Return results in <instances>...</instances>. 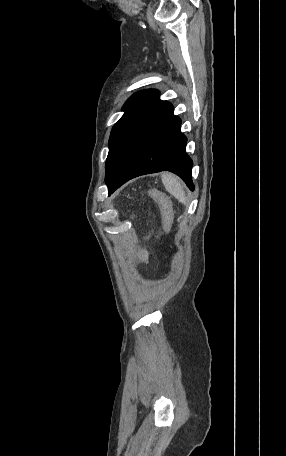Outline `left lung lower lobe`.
Wrapping results in <instances>:
<instances>
[{"instance_id": "0a47b994", "label": "left lung lower lobe", "mask_w": 286, "mask_h": 456, "mask_svg": "<svg viewBox=\"0 0 286 456\" xmlns=\"http://www.w3.org/2000/svg\"><path fill=\"white\" fill-rule=\"evenodd\" d=\"M180 127L181 120L173 114L171 105L129 147L108 186V194L134 177L163 170L177 174L194 190L191 178L193 163L186 154L187 138Z\"/></svg>"}]
</instances>
